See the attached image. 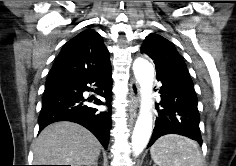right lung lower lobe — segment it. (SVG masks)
<instances>
[{"label":"right lung lower lobe","mask_w":236,"mask_h":166,"mask_svg":"<svg viewBox=\"0 0 236 166\" xmlns=\"http://www.w3.org/2000/svg\"><path fill=\"white\" fill-rule=\"evenodd\" d=\"M97 86L99 95L105 98V103L94 100L96 105H106L109 109L112 100L111 66L104 70L84 76H57L48 78L43 94L42 109L38 119L39 132L47 125L57 121H71L90 130L105 149L109 143L111 113L101 112L85 103L93 99H85L84 91H90L88 85Z\"/></svg>","instance_id":"1"}]
</instances>
